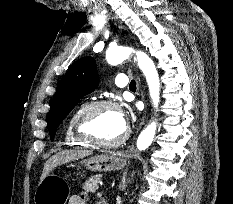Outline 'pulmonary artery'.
<instances>
[{"instance_id":"e3ab8cb5","label":"pulmonary artery","mask_w":233,"mask_h":204,"mask_svg":"<svg viewBox=\"0 0 233 204\" xmlns=\"http://www.w3.org/2000/svg\"><path fill=\"white\" fill-rule=\"evenodd\" d=\"M116 86L123 88L128 85V77L125 74H119L115 78Z\"/></svg>"}]
</instances>
